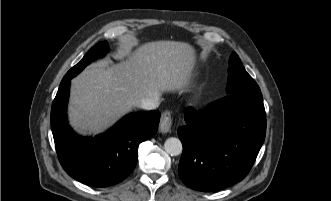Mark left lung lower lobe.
Instances as JSON below:
<instances>
[{"instance_id":"1","label":"left lung lower lobe","mask_w":331,"mask_h":201,"mask_svg":"<svg viewBox=\"0 0 331 201\" xmlns=\"http://www.w3.org/2000/svg\"><path fill=\"white\" fill-rule=\"evenodd\" d=\"M184 118L178 173L186 186L216 191L248 174L266 133L260 90L229 94L200 111L187 108Z\"/></svg>"}]
</instances>
